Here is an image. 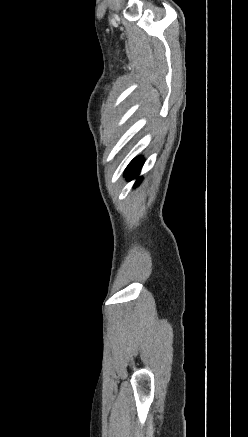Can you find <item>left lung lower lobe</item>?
Returning <instances> with one entry per match:
<instances>
[{
	"label": "left lung lower lobe",
	"mask_w": 248,
	"mask_h": 437,
	"mask_svg": "<svg viewBox=\"0 0 248 437\" xmlns=\"http://www.w3.org/2000/svg\"><path fill=\"white\" fill-rule=\"evenodd\" d=\"M143 166V158L137 157L135 158L126 168L125 175L128 180H132L138 176L141 168ZM140 179L136 181V184H139Z\"/></svg>",
	"instance_id": "1"
}]
</instances>
